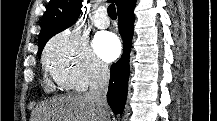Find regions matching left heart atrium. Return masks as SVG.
<instances>
[{
  "label": "left heart atrium",
  "mask_w": 217,
  "mask_h": 121,
  "mask_svg": "<svg viewBox=\"0 0 217 121\" xmlns=\"http://www.w3.org/2000/svg\"><path fill=\"white\" fill-rule=\"evenodd\" d=\"M94 49L101 59L104 61H112L119 56L121 47L114 34L103 32L95 38Z\"/></svg>",
  "instance_id": "obj_1"
}]
</instances>
